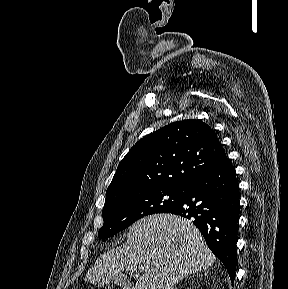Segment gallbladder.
<instances>
[{"instance_id": "gallbladder-1", "label": "gallbladder", "mask_w": 288, "mask_h": 289, "mask_svg": "<svg viewBox=\"0 0 288 289\" xmlns=\"http://www.w3.org/2000/svg\"><path fill=\"white\" fill-rule=\"evenodd\" d=\"M112 281L119 286L129 285V282L124 275H118V276L114 277Z\"/></svg>"}]
</instances>
